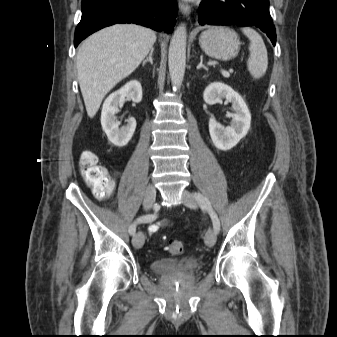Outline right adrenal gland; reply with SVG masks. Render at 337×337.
I'll return each instance as SVG.
<instances>
[{
    "label": "right adrenal gland",
    "instance_id": "1",
    "mask_svg": "<svg viewBox=\"0 0 337 337\" xmlns=\"http://www.w3.org/2000/svg\"><path fill=\"white\" fill-rule=\"evenodd\" d=\"M153 52H154V49L152 48L150 53H149V56L143 61L142 65L144 66L147 62H150L152 65H153V59H152V56H153Z\"/></svg>",
    "mask_w": 337,
    "mask_h": 337
}]
</instances>
